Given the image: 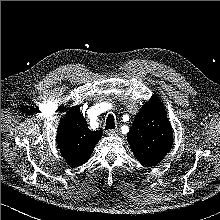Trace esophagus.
<instances>
[{"mask_svg": "<svg viewBox=\"0 0 220 220\" xmlns=\"http://www.w3.org/2000/svg\"><path fill=\"white\" fill-rule=\"evenodd\" d=\"M107 135H117L118 134V130L117 129H110L106 131Z\"/></svg>", "mask_w": 220, "mask_h": 220, "instance_id": "1", "label": "esophagus"}]
</instances>
